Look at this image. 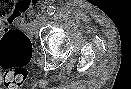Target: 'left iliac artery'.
Masks as SVG:
<instances>
[{"mask_svg": "<svg viewBox=\"0 0 131 89\" xmlns=\"http://www.w3.org/2000/svg\"><path fill=\"white\" fill-rule=\"evenodd\" d=\"M56 11V8L54 6H49L48 9H47V13L48 15H53Z\"/></svg>", "mask_w": 131, "mask_h": 89, "instance_id": "obj_1", "label": "left iliac artery"}]
</instances>
